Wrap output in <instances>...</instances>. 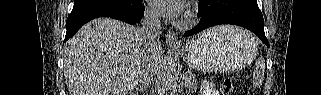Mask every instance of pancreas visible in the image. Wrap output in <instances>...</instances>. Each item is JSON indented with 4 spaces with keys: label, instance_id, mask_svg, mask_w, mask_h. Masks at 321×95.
Instances as JSON below:
<instances>
[{
    "label": "pancreas",
    "instance_id": "1",
    "mask_svg": "<svg viewBox=\"0 0 321 95\" xmlns=\"http://www.w3.org/2000/svg\"><path fill=\"white\" fill-rule=\"evenodd\" d=\"M184 85L187 89V92H195L197 89V79L196 77L191 74L187 73L184 77Z\"/></svg>",
    "mask_w": 321,
    "mask_h": 95
}]
</instances>
